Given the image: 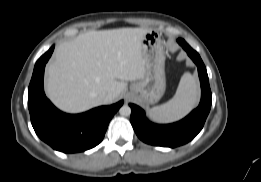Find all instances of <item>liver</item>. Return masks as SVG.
<instances>
[{"instance_id": "1", "label": "liver", "mask_w": 261, "mask_h": 182, "mask_svg": "<svg viewBox=\"0 0 261 182\" xmlns=\"http://www.w3.org/2000/svg\"><path fill=\"white\" fill-rule=\"evenodd\" d=\"M150 31L144 28L89 31L61 43L47 67L48 97L59 109L70 113L114 102L127 81L144 77L141 42Z\"/></svg>"}]
</instances>
